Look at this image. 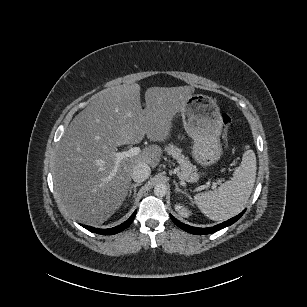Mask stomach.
Wrapping results in <instances>:
<instances>
[{
    "instance_id": "1",
    "label": "stomach",
    "mask_w": 307,
    "mask_h": 307,
    "mask_svg": "<svg viewBox=\"0 0 307 307\" xmlns=\"http://www.w3.org/2000/svg\"><path fill=\"white\" fill-rule=\"evenodd\" d=\"M178 116L182 117L187 134L194 140L195 158L203 164L219 159L222 122L216 101L204 94H192Z\"/></svg>"
}]
</instances>
